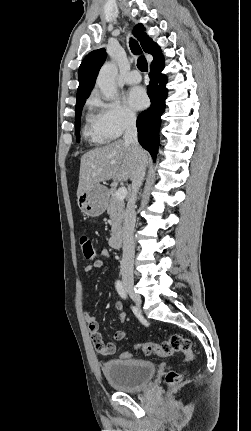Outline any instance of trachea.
Returning a JSON list of instances; mask_svg holds the SVG:
<instances>
[{"instance_id":"trachea-1","label":"trachea","mask_w":251,"mask_h":431,"mask_svg":"<svg viewBox=\"0 0 251 431\" xmlns=\"http://www.w3.org/2000/svg\"><path fill=\"white\" fill-rule=\"evenodd\" d=\"M130 49H131L132 53L135 55L142 54V50H141L139 44L135 40H130ZM137 67L142 72L148 71V64H147L146 59L143 56H140L138 58Z\"/></svg>"}]
</instances>
